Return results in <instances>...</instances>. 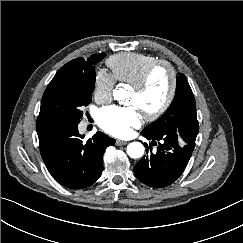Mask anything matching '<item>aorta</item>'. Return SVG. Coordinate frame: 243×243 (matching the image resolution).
<instances>
[{
  "mask_svg": "<svg viewBox=\"0 0 243 243\" xmlns=\"http://www.w3.org/2000/svg\"><path fill=\"white\" fill-rule=\"evenodd\" d=\"M127 94L126 91L122 88L114 91V98L116 100H124L126 99ZM145 151L144 146L140 142H132L127 146V154L129 157L137 159L143 156Z\"/></svg>",
  "mask_w": 243,
  "mask_h": 243,
  "instance_id": "aorta-1",
  "label": "aorta"
}]
</instances>
